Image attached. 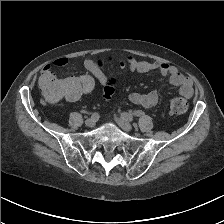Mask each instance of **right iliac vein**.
Listing matches in <instances>:
<instances>
[{
	"label": "right iliac vein",
	"mask_w": 224,
	"mask_h": 224,
	"mask_svg": "<svg viewBox=\"0 0 224 224\" xmlns=\"http://www.w3.org/2000/svg\"><path fill=\"white\" fill-rule=\"evenodd\" d=\"M85 124H86V126L92 128V127H94V125H95V121H93L92 119H87V120L85 121Z\"/></svg>",
	"instance_id": "right-iliac-vein-1"
}]
</instances>
